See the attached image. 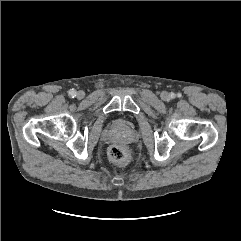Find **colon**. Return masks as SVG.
Returning <instances> with one entry per match:
<instances>
[{
  "label": "colon",
  "mask_w": 241,
  "mask_h": 241,
  "mask_svg": "<svg viewBox=\"0 0 241 241\" xmlns=\"http://www.w3.org/2000/svg\"><path fill=\"white\" fill-rule=\"evenodd\" d=\"M108 154L110 159L119 165L125 164L128 160L127 150L119 145L110 147Z\"/></svg>",
  "instance_id": "5ec220e1"
}]
</instances>
